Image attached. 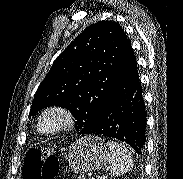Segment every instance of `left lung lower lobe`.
<instances>
[{"label":"left lung lower lobe","instance_id":"obj_1","mask_svg":"<svg viewBox=\"0 0 183 179\" xmlns=\"http://www.w3.org/2000/svg\"><path fill=\"white\" fill-rule=\"evenodd\" d=\"M146 112L136 58L130 41L120 63L109 102L88 134L116 138L142 154L146 140Z\"/></svg>","mask_w":183,"mask_h":179}]
</instances>
